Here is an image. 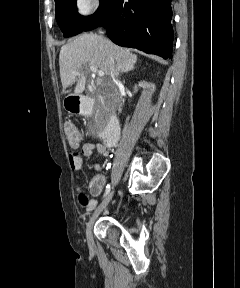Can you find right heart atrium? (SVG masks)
<instances>
[{
  "label": "right heart atrium",
  "mask_w": 240,
  "mask_h": 288,
  "mask_svg": "<svg viewBox=\"0 0 240 288\" xmlns=\"http://www.w3.org/2000/svg\"><path fill=\"white\" fill-rule=\"evenodd\" d=\"M100 5V0H76L75 6L77 12L82 16L94 13Z\"/></svg>",
  "instance_id": "1"
}]
</instances>
